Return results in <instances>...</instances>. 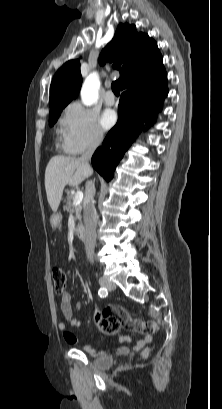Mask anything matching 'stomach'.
<instances>
[{
	"label": "stomach",
	"instance_id": "stomach-1",
	"mask_svg": "<svg viewBox=\"0 0 222 409\" xmlns=\"http://www.w3.org/2000/svg\"><path fill=\"white\" fill-rule=\"evenodd\" d=\"M61 220L62 216L60 214H57L52 218L51 223L54 227H58L61 224Z\"/></svg>",
	"mask_w": 222,
	"mask_h": 409
}]
</instances>
